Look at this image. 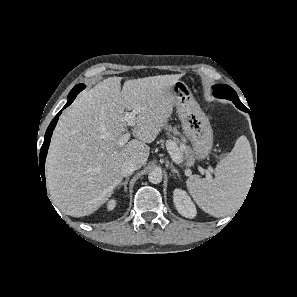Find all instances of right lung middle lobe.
Wrapping results in <instances>:
<instances>
[{
    "instance_id": "dd1d6c3e",
    "label": "right lung middle lobe",
    "mask_w": 297,
    "mask_h": 297,
    "mask_svg": "<svg viewBox=\"0 0 297 297\" xmlns=\"http://www.w3.org/2000/svg\"><path fill=\"white\" fill-rule=\"evenodd\" d=\"M85 88V85L84 84H79V85H76L70 92V95L69 97H73V99L76 97V95Z\"/></svg>"
}]
</instances>
